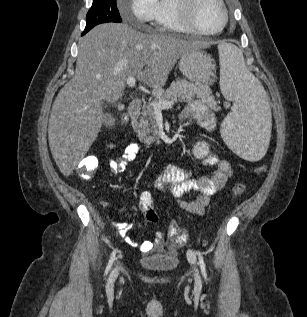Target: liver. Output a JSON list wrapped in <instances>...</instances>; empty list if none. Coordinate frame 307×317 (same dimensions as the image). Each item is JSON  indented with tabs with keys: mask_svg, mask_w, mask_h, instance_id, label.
<instances>
[{
	"mask_svg": "<svg viewBox=\"0 0 307 317\" xmlns=\"http://www.w3.org/2000/svg\"><path fill=\"white\" fill-rule=\"evenodd\" d=\"M209 46L117 23L86 34L78 43L75 75L58 93L49 118V146L61 173L69 176L86 155L104 121L102 101L121 98L129 77L161 88L184 52Z\"/></svg>",
	"mask_w": 307,
	"mask_h": 317,
	"instance_id": "liver-1",
	"label": "liver"
}]
</instances>
